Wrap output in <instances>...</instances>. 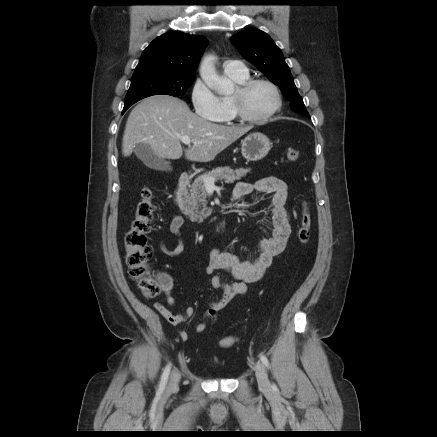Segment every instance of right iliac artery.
Here are the masks:
<instances>
[{
  "instance_id": "obj_1",
  "label": "right iliac artery",
  "mask_w": 437,
  "mask_h": 437,
  "mask_svg": "<svg viewBox=\"0 0 437 437\" xmlns=\"http://www.w3.org/2000/svg\"><path fill=\"white\" fill-rule=\"evenodd\" d=\"M170 369H171V365L170 364H168L165 367V369H164V372H163L162 377H161V382H160V388L161 389H164L166 384H167V380H168V377H169Z\"/></svg>"
}]
</instances>
